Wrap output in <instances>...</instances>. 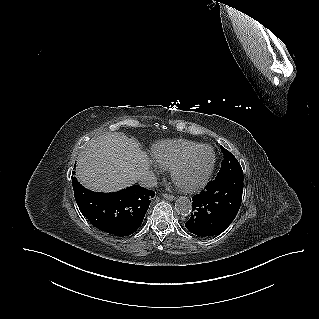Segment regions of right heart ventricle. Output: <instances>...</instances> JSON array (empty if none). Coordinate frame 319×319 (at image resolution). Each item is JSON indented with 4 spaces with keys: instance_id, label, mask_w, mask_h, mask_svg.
I'll use <instances>...</instances> for the list:
<instances>
[{
    "instance_id": "1",
    "label": "right heart ventricle",
    "mask_w": 319,
    "mask_h": 319,
    "mask_svg": "<svg viewBox=\"0 0 319 319\" xmlns=\"http://www.w3.org/2000/svg\"><path fill=\"white\" fill-rule=\"evenodd\" d=\"M198 145L200 143L184 139L159 141L153 145L151 155L157 165L171 170L186 153Z\"/></svg>"
}]
</instances>
